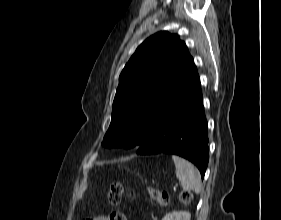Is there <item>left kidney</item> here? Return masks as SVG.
<instances>
[{
	"label": "left kidney",
	"instance_id": "obj_1",
	"mask_svg": "<svg viewBox=\"0 0 281 220\" xmlns=\"http://www.w3.org/2000/svg\"><path fill=\"white\" fill-rule=\"evenodd\" d=\"M191 214L187 211H173L166 214L162 220H190Z\"/></svg>",
	"mask_w": 281,
	"mask_h": 220
}]
</instances>
